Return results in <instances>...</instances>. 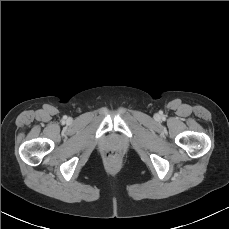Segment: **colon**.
<instances>
[{
    "instance_id": "1",
    "label": "colon",
    "mask_w": 229,
    "mask_h": 229,
    "mask_svg": "<svg viewBox=\"0 0 229 229\" xmlns=\"http://www.w3.org/2000/svg\"><path fill=\"white\" fill-rule=\"evenodd\" d=\"M121 154L118 151H109L107 153V159L111 162H116L120 160Z\"/></svg>"
}]
</instances>
